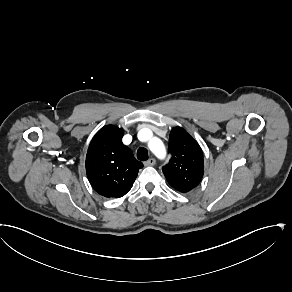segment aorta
I'll use <instances>...</instances> for the list:
<instances>
[{
    "instance_id": "obj_1",
    "label": "aorta",
    "mask_w": 292,
    "mask_h": 292,
    "mask_svg": "<svg viewBox=\"0 0 292 292\" xmlns=\"http://www.w3.org/2000/svg\"><path fill=\"white\" fill-rule=\"evenodd\" d=\"M148 146H149L150 150L155 154L156 157L163 159L166 156L165 146L160 139L152 138L149 141Z\"/></svg>"
}]
</instances>
